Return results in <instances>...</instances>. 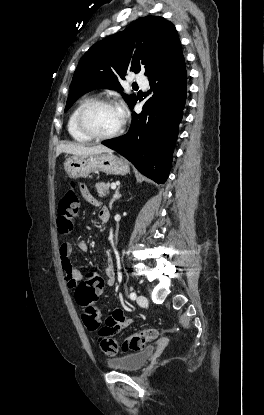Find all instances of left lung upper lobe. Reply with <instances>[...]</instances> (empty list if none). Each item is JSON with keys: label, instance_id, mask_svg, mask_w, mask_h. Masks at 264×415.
Here are the masks:
<instances>
[{"label": "left lung upper lobe", "instance_id": "obj_1", "mask_svg": "<svg viewBox=\"0 0 264 415\" xmlns=\"http://www.w3.org/2000/svg\"><path fill=\"white\" fill-rule=\"evenodd\" d=\"M182 56L175 26L163 17L139 18L124 31L94 44L74 72L65 111L83 94L99 88L122 91L119 79L127 71L145 70L149 78ZM130 107L135 95L122 94Z\"/></svg>", "mask_w": 264, "mask_h": 415}]
</instances>
